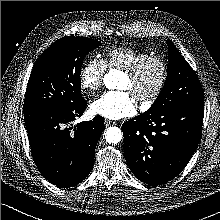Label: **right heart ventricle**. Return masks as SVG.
Here are the masks:
<instances>
[{"label":"right heart ventricle","instance_id":"1","mask_svg":"<svg viewBox=\"0 0 220 220\" xmlns=\"http://www.w3.org/2000/svg\"><path fill=\"white\" fill-rule=\"evenodd\" d=\"M149 55L132 47H117L105 51L104 62L110 69L127 70Z\"/></svg>","mask_w":220,"mask_h":220}]
</instances>
